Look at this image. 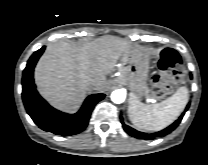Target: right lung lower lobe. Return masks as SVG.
<instances>
[{
  "label": "right lung lower lobe",
  "mask_w": 208,
  "mask_h": 165,
  "mask_svg": "<svg viewBox=\"0 0 208 165\" xmlns=\"http://www.w3.org/2000/svg\"><path fill=\"white\" fill-rule=\"evenodd\" d=\"M45 46L34 52L27 62L22 77V99L27 113L41 129L57 135L70 136L83 131L96 103L104 94L90 95L75 114L60 112L51 107L37 92L33 79L34 67Z\"/></svg>",
  "instance_id": "right-lung-lower-lobe-1"
}]
</instances>
